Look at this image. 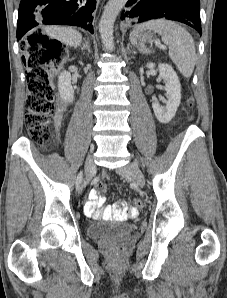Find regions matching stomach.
<instances>
[{"label": "stomach", "instance_id": "0dacf381", "mask_svg": "<svg viewBox=\"0 0 227 298\" xmlns=\"http://www.w3.org/2000/svg\"><path fill=\"white\" fill-rule=\"evenodd\" d=\"M153 35L151 32H140L137 35H135L136 42H139L141 45H143L146 42H149L152 40Z\"/></svg>", "mask_w": 227, "mask_h": 298}]
</instances>
